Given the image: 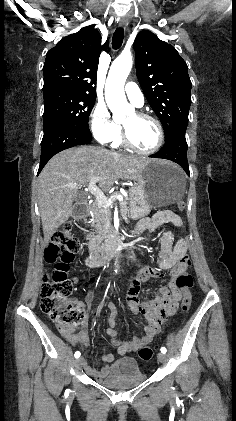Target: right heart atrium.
<instances>
[{"label":"right heart atrium","mask_w":236,"mask_h":421,"mask_svg":"<svg viewBox=\"0 0 236 421\" xmlns=\"http://www.w3.org/2000/svg\"><path fill=\"white\" fill-rule=\"evenodd\" d=\"M90 130L98 142L107 144L120 134L121 127L113 119L106 105L98 101L90 114Z\"/></svg>","instance_id":"obj_1"}]
</instances>
